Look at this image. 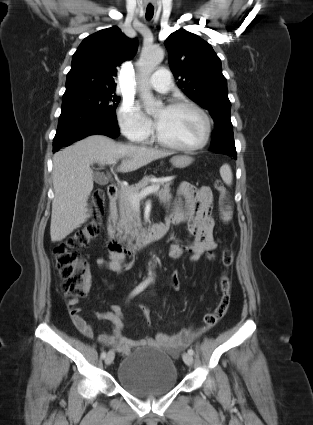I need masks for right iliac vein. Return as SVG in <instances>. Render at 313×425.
Instances as JSON below:
<instances>
[{
  "instance_id": "1",
  "label": "right iliac vein",
  "mask_w": 313,
  "mask_h": 425,
  "mask_svg": "<svg viewBox=\"0 0 313 425\" xmlns=\"http://www.w3.org/2000/svg\"><path fill=\"white\" fill-rule=\"evenodd\" d=\"M114 356H115L114 351L110 350L105 357V364L110 365L114 360Z\"/></svg>"
}]
</instances>
